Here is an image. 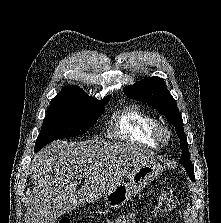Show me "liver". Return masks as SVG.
Returning <instances> with one entry per match:
<instances>
[{
  "mask_svg": "<svg viewBox=\"0 0 221 223\" xmlns=\"http://www.w3.org/2000/svg\"><path fill=\"white\" fill-rule=\"evenodd\" d=\"M152 151L124 142L55 141L33 158L29 223H55L63 214L110 193L138 163L155 161ZM84 185L77 190V183Z\"/></svg>",
  "mask_w": 221,
  "mask_h": 223,
  "instance_id": "6515ba94",
  "label": "liver"
}]
</instances>
